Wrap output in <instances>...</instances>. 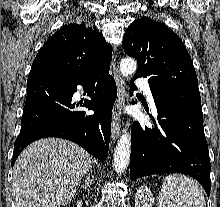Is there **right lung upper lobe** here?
Here are the masks:
<instances>
[{
    "label": "right lung upper lobe",
    "instance_id": "right-lung-upper-lobe-1",
    "mask_svg": "<svg viewBox=\"0 0 220 207\" xmlns=\"http://www.w3.org/2000/svg\"><path fill=\"white\" fill-rule=\"evenodd\" d=\"M111 59L112 47L95 26L70 23L47 39L29 75L53 73L81 77L98 65L109 64Z\"/></svg>",
    "mask_w": 220,
    "mask_h": 207
}]
</instances>
